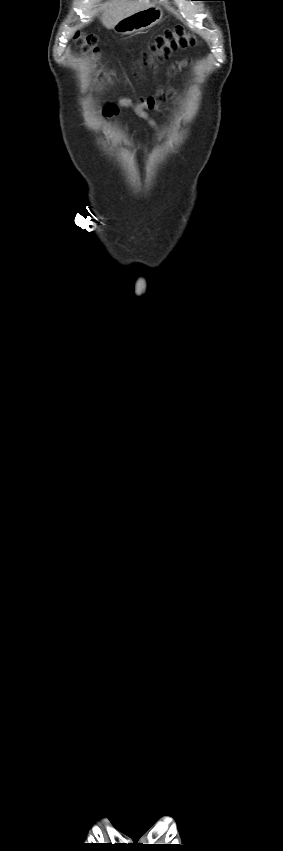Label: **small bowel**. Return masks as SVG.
<instances>
[{"label":"small bowel","instance_id":"1","mask_svg":"<svg viewBox=\"0 0 283 851\" xmlns=\"http://www.w3.org/2000/svg\"><path fill=\"white\" fill-rule=\"evenodd\" d=\"M164 98H165V95L163 93H161L159 95V99L161 100V99H164ZM118 106L124 107V108H132L133 111L135 112V114L139 118L146 121L148 123V125L150 127H152L153 129H157L156 122L154 121V119L152 117H150V115L147 113L146 110L147 109L160 110V101L158 99H155L153 97H148L146 99H141L137 103H134L130 99L123 98V99L119 100ZM118 106L112 105V104L107 105L104 109L105 117L115 115L118 112Z\"/></svg>","mask_w":283,"mask_h":851}]
</instances>
